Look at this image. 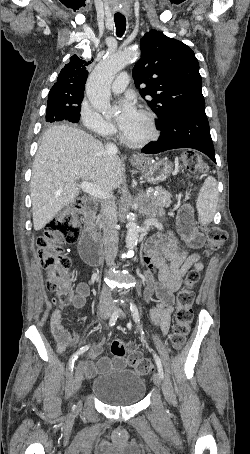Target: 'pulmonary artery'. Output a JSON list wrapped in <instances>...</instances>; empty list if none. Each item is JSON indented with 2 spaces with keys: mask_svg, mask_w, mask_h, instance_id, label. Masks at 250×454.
<instances>
[{
  "mask_svg": "<svg viewBox=\"0 0 250 454\" xmlns=\"http://www.w3.org/2000/svg\"><path fill=\"white\" fill-rule=\"evenodd\" d=\"M129 81H130V77H129L128 73L124 72V73L119 74L111 85L112 92H114V93L123 92L125 90V88L127 87Z\"/></svg>",
  "mask_w": 250,
  "mask_h": 454,
  "instance_id": "e3ab8cb5",
  "label": "pulmonary artery"
}]
</instances>
